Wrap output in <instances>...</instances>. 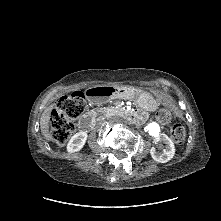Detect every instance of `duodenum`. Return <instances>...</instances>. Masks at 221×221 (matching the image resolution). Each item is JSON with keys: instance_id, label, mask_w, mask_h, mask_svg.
I'll use <instances>...</instances> for the list:
<instances>
[{"instance_id": "410a0bca", "label": "duodenum", "mask_w": 221, "mask_h": 221, "mask_svg": "<svg viewBox=\"0 0 221 221\" xmlns=\"http://www.w3.org/2000/svg\"><path fill=\"white\" fill-rule=\"evenodd\" d=\"M125 94V89L121 87H89L85 91V98L89 102L108 103L112 99V95L121 96ZM119 115L122 118H127L131 122H138L140 115L137 111L128 110L127 108L116 107H95L91 109L79 120V128L82 132H89L93 126L95 119L103 114Z\"/></svg>"}]
</instances>
